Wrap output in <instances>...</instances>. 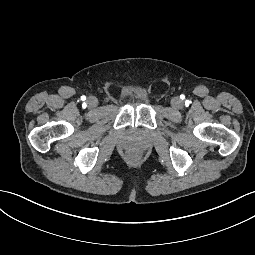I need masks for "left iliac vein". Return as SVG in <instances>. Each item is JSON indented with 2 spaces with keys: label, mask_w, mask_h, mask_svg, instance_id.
<instances>
[{
  "label": "left iliac vein",
  "mask_w": 255,
  "mask_h": 255,
  "mask_svg": "<svg viewBox=\"0 0 255 255\" xmlns=\"http://www.w3.org/2000/svg\"><path fill=\"white\" fill-rule=\"evenodd\" d=\"M171 104L174 108L178 109L181 107L182 105V101L179 99V98H174L172 101H171Z\"/></svg>",
  "instance_id": "obj_1"
}]
</instances>
